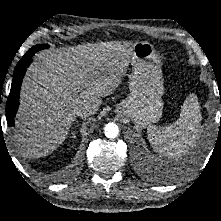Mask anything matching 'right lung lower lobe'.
<instances>
[{"mask_svg": "<svg viewBox=\"0 0 221 221\" xmlns=\"http://www.w3.org/2000/svg\"><path fill=\"white\" fill-rule=\"evenodd\" d=\"M36 51L29 50L22 59L18 62L13 73V80L10 94L6 104V118L9 126L14 124V117L16 115L19 105L20 87L25 71L32 61V56Z\"/></svg>", "mask_w": 221, "mask_h": 221, "instance_id": "1", "label": "right lung lower lobe"}]
</instances>
